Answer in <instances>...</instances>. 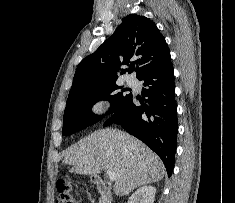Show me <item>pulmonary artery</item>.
I'll use <instances>...</instances> for the list:
<instances>
[{
  "mask_svg": "<svg viewBox=\"0 0 235 203\" xmlns=\"http://www.w3.org/2000/svg\"><path fill=\"white\" fill-rule=\"evenodd\" d=\"M126 82L129 86H135L137 84V80L133 76H128Z\"/></svg>",
  "mask_w": 235,
  "mask_h": 203,
  "instance_id": "obj_1",
  "label": "pulmonary artery"
}]
</instances>
